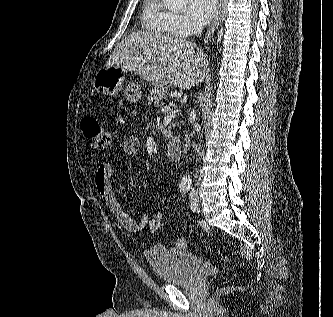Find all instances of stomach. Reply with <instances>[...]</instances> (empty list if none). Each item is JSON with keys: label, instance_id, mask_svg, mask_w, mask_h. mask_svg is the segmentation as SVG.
<instances>
[{"label": "stomach", "instance_id": "stomach-1", "mask_svg": "<svg viewBox=\"0 0 333 317\" xmlns=\"http://www.w3.org/2000/svg\"><path fill=\"white\" fill-rule=\"evenodd\" d=\"M125 73L126 69L121 67H103L93 80L95 91L103 95L117 94L122 89ZM123 92L130 101H138L141 98V88L135 82L128 83Z\"/></svg>", "mask_w": 333, "mask_h": 317}]
</instances>
